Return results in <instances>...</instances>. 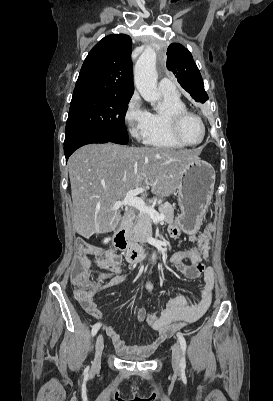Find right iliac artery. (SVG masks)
<instances>
[{"instance_id": "right-iliac-artery-1", "label": "right iliac artery", "mask_w": 273, "mask_h": 401, "mask_svg": "<svg viewBox=\"0 0 273 401\" xmlns=\"http://www.w3.org/2000/svg\"><path fill=\"white\" fill-rule=\"evenodd\" d=\"M101 324L100 323H96L93 325L92 327V336H95L96 333L98 332V330L100 329ZM89 368V367H88Z\"/></svg>"}]
</instances>
